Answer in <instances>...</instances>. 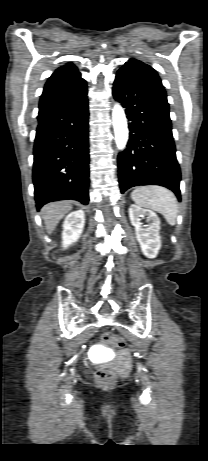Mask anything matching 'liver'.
<instances>
[{
  "instance_id": "6515ba94",
  "label": "liver",
  "mask_w": 208,
  "mask_h": 461,
  "mask_svg": "<svg viewBox=\"0 0 208 461\" xmlns=\"http://www.w3.org/2000/svg\"><path fill=\"white\" fill-rule=\"evenodd\" d=\"M72 209V205L68 201H60L48 204L41 210L45 227L48 234H51L59 221Z\"/></svg>"
}]
</instances>
